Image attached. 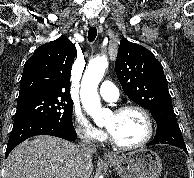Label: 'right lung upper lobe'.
<instances>
[{
  "mask_svg": "<svg viewBox=\"0 0 194 178\" xmlns=\"http://www.w3.org/2000/svg\"><path fill=\"white\" fill-rule=\"evenodd\" d=\"M76 55L75 45L66 36L36 49L24 65L18 100L70 97V74Z\"/></svg>",
  "mask_w": 194,
  "mask_h": 178,
  "instance_id": "right-lung-upper-lobe-1",
  "label": "right lung upper lobe"
}]
</instances>
